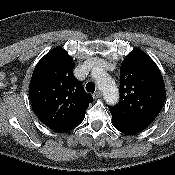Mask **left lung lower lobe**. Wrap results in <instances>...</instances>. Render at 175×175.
Masks as SVG:
<instances>
[{
	"instance_id": "obj_1",
	"label": "left lung lower lobe",
	"mask_w": 175,
	"mask_h": 175,
	"mask_svg": "<svg viewBox=\"0 0 175 175\" xmlns=\"http://www.w3.org/2000/svg\"><path fill=\"white\" fill-rule=\"evenodd\" d=\"M111 115L113 126L118 131L128 135H134L141 132L152 122L147 120L127 119L113 114Z\"/></svg>"
}]
</instances>
